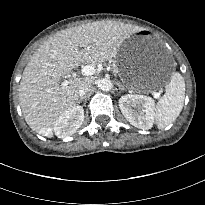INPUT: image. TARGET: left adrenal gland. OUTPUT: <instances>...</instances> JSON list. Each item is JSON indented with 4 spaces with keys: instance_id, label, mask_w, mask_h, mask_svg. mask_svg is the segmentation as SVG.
Masks as SVG:
<instances>
[{
    "instance_id": "left-adrenal-gland-1",
    "label": "left adrenal gland",
    "mask_w": 205,
    "mask_h": 205,
    "mask_svg": "<svg viewBox=\"0 0 205 205\" xmlns=\"http://www.w3.org/2000/svg\"><path fill=\"white\" fill-rule=\"evenodd\" d=\"M118 84V87H119V90L120 91H124L125 88L123 87V85L121 83H117Z\"/></svg>"
}]
</instances>
